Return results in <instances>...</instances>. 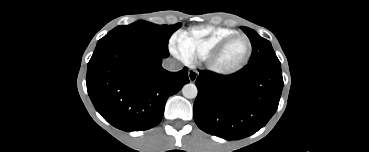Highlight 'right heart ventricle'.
<instances>
[{"label": "right heart ventricle", "mask_w": 369, "mask_h": 152, "mask_svg": "<svg viewBox=\"0 0 369 152\" xmlns=\"http://www.w3.org/2000/svg\"><path fill=\"white\" fill-rule=\"evenodd\" d=\"M238 33L236 30L211 25L196 26L181 32L177 41L188 58V63L202 60L224 38Z\"/></svg>", "instance_id": "obj_1"}]
</instances>
